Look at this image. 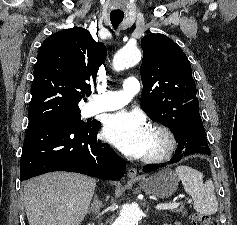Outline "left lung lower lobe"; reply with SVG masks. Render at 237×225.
Masks as SVG:
<instances>
[{
    "label": "left lung lower lobe",
    "instance_id": "1",
    "mask_svg": "<svg viewBox=\"0 0 237 225\" xmlns=\"http://www.w3.org/2000/svg\"><path fill=\"white\" fill-rule=\"evenodd\" d=\"M173 133L177 140L178 148L176 154L170 160V163H176L181 160L182 157L193 153L210 155L205 129L199 113L191 115L189 119ZM164 166L165 164L149 165L145 166L143 171L149 172Z\"/></svg>",
    "mask_w": 237,
    "mask_h": 225
}]
</instances>
